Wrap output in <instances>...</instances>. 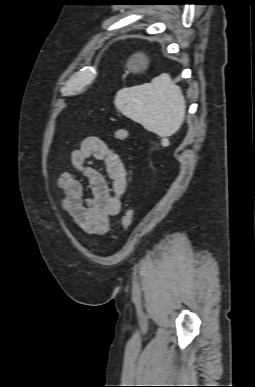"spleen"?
Segmentation results:
<instances>
[{
  "mask_svg": "<svg viewBox=\"0 0 255 387\" xmlns=\"http://www.w3.org/2000/svg\"><path fill=\"white\" fill-rule=\"evenodd\" d=\"M114 104L124 116L162 137L176 133L185 119V98L168 74L119 90Z\"/></svg>",
  "mask_w": 255,
  "mask_h": 387,
  "instance_id": "obj_1",
  "label": "spleen"
}]
</instances>
